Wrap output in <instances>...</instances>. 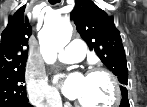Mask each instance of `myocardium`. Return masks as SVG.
<instances>
[{"label": "myocardium", "mask_w": 147, "mask_h": 107, "mask_svg": "<svg viewBox=\"0 0 147 107\" xmlns=\"http://www.w3.org/2000/svg\"><path fill=\"white\" fill-rule=\"evenodd\" d=\"M95 75L105 76L109 80V82L112 86V92H113V99L111 100L110 103H108L107 105H104V106H97V107H114V106H117L120 102V99H121V88H120V84H119L116 76L113 73H111L110 71H108L107 69L102 68V67L91 68L87 72L86 76L92 77V76H95ZM75 105L77 107H91V106H88V105L81 103L79 101H76Z\"/></svg>", "instance_id": "myocardium-1"}]
</instances>
